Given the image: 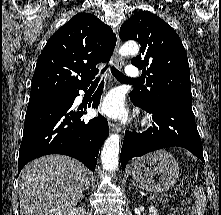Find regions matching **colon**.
Returning <instances> with one entry per match:
<instances>
[{
	"instance_id": "1",
	"label": "colon",
	"mask_w": 221,
	"mask_h": 215,
	"mask_svg": "<svg viewBox=\"0 0 221 215\" xmlns=\"http://www.w3.org/2000/svg\"><path fill=\"white\" fill-rule=\"evenodd\" d=\"M186 215H192V213L188 211V212L186 213Z\"/></svg>"
}]
</instances>
